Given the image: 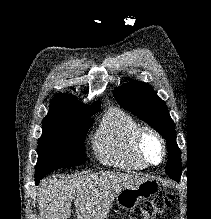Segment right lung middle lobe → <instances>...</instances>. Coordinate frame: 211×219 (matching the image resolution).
<instances>
[{"instance_id": "1", "label": "right lung middle lobe", "mask_w": 211, "mask_h": 219, "mask_svg": "<svg viewBox=\"0 0 211 219\" xmlns=\"http://www.w3.org/2000/svg\"><path fill=\"white\" fill-rule=\"evenodd\" d=\"M96 113V112H95ZM45 117L38 140L35 183L58 168L77 166L86 161L84 139L93 119L89 116Z\"/></svg>"}]
</instances>
